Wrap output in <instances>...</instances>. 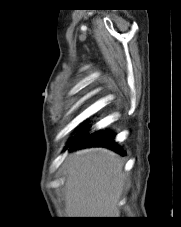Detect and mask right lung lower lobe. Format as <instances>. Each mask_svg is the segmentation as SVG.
<instances>
[{"label": "right lung lower lobe", "instance_id": "1", "mask_svg": "<svg viewBox=\"0 0 181 227\" xmlns=\"http://www.w3.org/2000/svg\"><path fill=\"white\" fill-rule=\"evenodd\" d=\"M71 144L68 147L72 149H78L83 147L90 146H104L111 149H114L117 152L123 153L122 149L116 145L114 142L113 133L106 131L100 132L96 131L91 134H85L84 132H80L71 140Z\"/></svg>", "mask_w": 181, "mask_h": 227}]
</instances>
